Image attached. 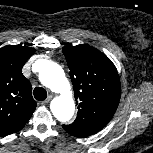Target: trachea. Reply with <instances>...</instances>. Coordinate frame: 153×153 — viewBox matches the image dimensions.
<instances>
[{
    "instance_id": "3493384b",
    "label": "trachea",
    "mask_w": 153,
    "mask_h": 153,
    "mask_svg": "<svg viewBox=\"0 0 153 153\" xmlns=\"http://www.w3.org/2000/svg\"><path fill=\"white\" fill-rule=\"evenodd\" d=\"M33 95L38 101H44L47 98V92L43 87H36L33 91Z\"/></svg>"
}]
</instances>
